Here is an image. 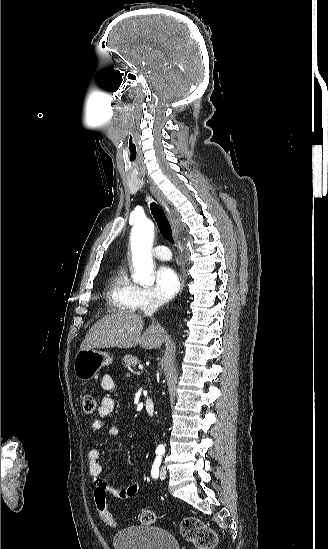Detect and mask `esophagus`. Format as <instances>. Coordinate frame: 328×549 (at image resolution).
Returning a JSON list of instances; mask_svg holds the SVG:
<instances>
[{
    "mask_svg": "<svg viewBox=\"0 0 328 549\" xmlns=\"http://www.w3.org/2000/svg\"><path fill=\"white\" fill-rule=\"evenodd\" d=\"M150 190H151L152 194L154 195V197L156 198V200L161 205V207L163 208V210L165 211V213H166V215H167V217H168V219L171 223V226H172L173 236H174L175 240L177 241L178 233H179V224H178V220H177L173 210L170 208L167 200L163 197V195H161V193L153 185L150 186ZM180 280H181V288H180V294H181V292L183 291V287H184V281H183L182 278Z\"/></svg>",
    "mask_w": 328,
    "mask_h": 549,
    "instance_id": "1",
    "label": "esophagus"
}]
</instances>
